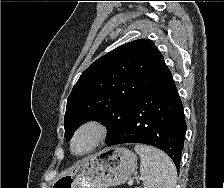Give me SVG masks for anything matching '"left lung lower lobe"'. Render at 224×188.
<instances>
[{"instance_id":"1","label":"left lung lower lobe","mask_w":224,"mask_h":188,"mask_svg":"<svg viewBox=\"0 0 224 188\" xmlns=\"http://www.w3.org/2000/svg\"><path fill=\"white\" fill-rule=\"evenodd\" d=\"M186 133L183 107L171 72L149 85L107 146L144 143L167 153L179 171Z\"/></svg>"}]
</instances>
